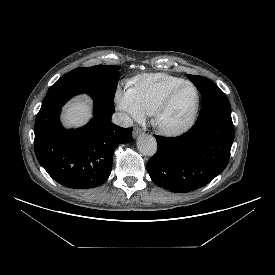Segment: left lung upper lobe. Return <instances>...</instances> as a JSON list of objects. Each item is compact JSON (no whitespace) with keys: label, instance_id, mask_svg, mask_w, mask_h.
Segmentation results:
<instances>
[{"label":"left lung upper lobe","instance_id":"1","mask_svg":"<svg viewBox=\"0 0 275 275\" xmlns=\"http://www.w3.org/2000/svg\"><path fill=\"white\" fill-rule=\"evenodd\" d=\"M188 78L202 95V107L197 121L213 116H230L231 106L215 83L202 76L188 75Z\"/></svg>","mask_w":275,"mask_h":275}]
</instances>
